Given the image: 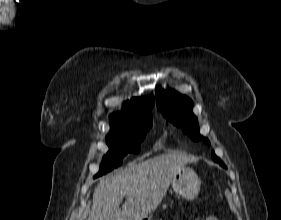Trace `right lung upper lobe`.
Returning a JSON list of instances; mask_svg holds the SVG:
<instances>
[{
	"instance_id": "right-lung-upper-lobe-1",
	"label": "right lung upper lobe",
	"mask_w": 281,
	"mask_h": 220,
	"mask_svg": "<svg viewBox=\"0 0 281 220\" xmlns=\"http://www.w3.org/2000/svg\"><path fill=\"white\" fill-rule=\"evenodd\" d=\"M152 106V98H132L131 101H127L124 104L121 112H116L110 115L111 128L119 127L123 124L152 116Z\"/></svg>"
}]
</instances>
